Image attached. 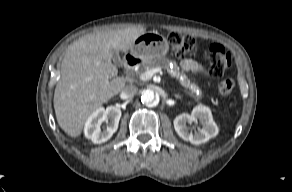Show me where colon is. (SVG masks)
Masks as SVG:
<instances>
[{"label": "colon", "mask_w": 292, "mask_h": 192, "mask_svg": "<svg viewBox=\"0 0 292 192\" xmlns=\"http://www.w3.org/2000/svg\"><path fill=\"white\" fill-rule=\"evenodd\" d=\"M170 45L179 58H186L197 51L198 45L196 40L189 36L177 32H172L168 36ZM210 72L215 78H220L231 66L230 53L218 43H213L209 47ZM234 88L233 79L222 78L218 84V93L222 97L230 95Z\"/></svg>", "instance_id": "obj_1"}]
</instances>
